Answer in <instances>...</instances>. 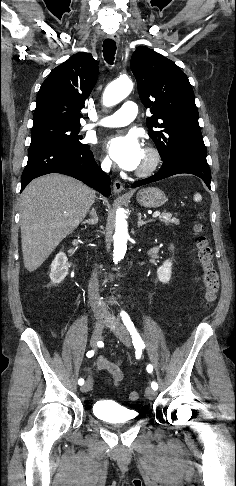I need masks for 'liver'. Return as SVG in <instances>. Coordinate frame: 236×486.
<instances>
[{
	"mask_svg": "<svg viewBox=\"0 0 236 486\" xmlns=\"http://www.w3.org/2000/svg\"><path fill=\"white\" fill-rule=\"evenodd\" d=\"M95 191L83 183L52 173L33 180L20 199L24 266L38 269L59 243L85 218Z\"/></svg>",
	"mask_w": 236,
	"mask_h": 486,
	"instance_id": "obj_1",
	"label": "liver"
}]
</instances>
